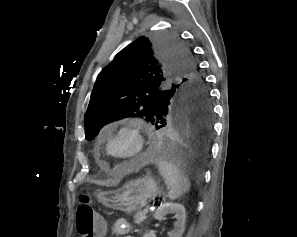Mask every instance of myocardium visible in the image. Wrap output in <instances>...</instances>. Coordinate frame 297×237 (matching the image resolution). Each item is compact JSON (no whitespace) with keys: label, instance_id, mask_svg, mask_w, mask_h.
<instances>
[{"label":"myocardium","instance_id":"1","mask_svg":"<svg viewBox=\"0 0 297 237\" xmlns=\"http://www.w3.org/2000/svg\"><path fill=\"white\" fill-rule=\"evenodd\" d=\"M122 135H128L129 137H131L134 143V150L132 153L124 157L118 158L110 153L109 147L113 139ZM145 147L146 141L140 124L128 123L120 126L117 130L109 134V136L106 139L105 152L109 157L113 158L118 162H126L137 159L139 156H141L145 151Z\"/></svg>","mask_w":297,"mask_h":237}]
</instances>
